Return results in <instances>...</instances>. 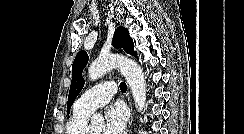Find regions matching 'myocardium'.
I'll use <instances>...</instances> for the list:
<instances>
[{"mask_svg": "<svg viewBox=\"0 0 244 134\" xmlns=\"http://www.w3.org/2000/svg\"><path fill=\"white\" fill-rule=\"evenodd\" d=\"M86 134H92V132H91V128H87V133Z\"/></svg>", "mask_w": 244, "mask_h": 134, "instance_id": "obj_1", "label": "myocardium"}]
</instances>
